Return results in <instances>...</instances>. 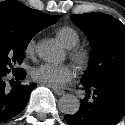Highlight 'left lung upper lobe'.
Segmentation results:
<instances>
[{"mask_svg": "<svg viewBox=\"0 0 125 125\" xmlns=\"http://www.w3.org/2000/svg\"><path fill=\"white\" fill-rule=\"evenodd\" d=\"M71 20L86 34L92 46V61L83 85L104 79H125V25L111 15L72 14Z\"/></svg>", "mask_w": 125, "mask_h": 125, "instance_id": "obj_1", "label": "left lung upper lobe"}]
</instances>
